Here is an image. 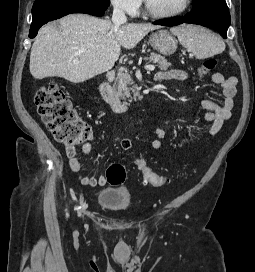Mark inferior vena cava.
Here are the masks:
<instances>
[{
    "label": "inferior vena cava",
    "mask_w": 255,
    "mask_h": 272,
    "mask_svg": "<svg viewBox=\"0 0 255 272\" xmlns=\"http://www.w3.org/2000/svg\"><path fill=\"white\" fill-rule=\"evenodd\" d=\"M127 18L123 9L120 6H115L112 14V22L115 27H119L120 25L126 23Z\"/></svg>",
    "instance_id": "obj_1"
}]
</instances>
